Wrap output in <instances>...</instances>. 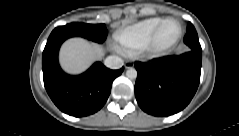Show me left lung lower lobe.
<instances>
[{
  "label": "left lung lower lobe",
  "instance_id": "1",
  "mask_svg": "<svg viewBox=\"0 0 239 136\" xmlns=\"http://www.w3.org/2000/svg\"><path fill=\"white\" fill-rule=\"evenodd\" d=\"M202 53L189 51L152 63L135 62V96L148 114L168 116L184 109L200 81Z\"/></svg>",
  "mask_w": 239,
  "mask_h": 136
}]
</instances>
